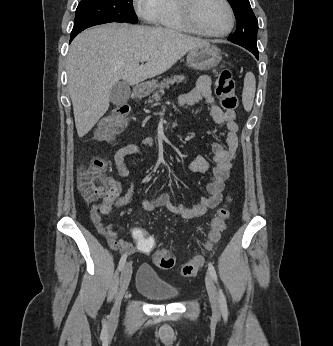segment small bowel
I'll list each match as a JSON object with an SVG mask.
<instances>
[{"label":"small bowel","mask_w":333,"mask_h":346,"mask_svg":"<svg viewBox=\"0 0 333 346\" xmlns=\"http://www.w3.org/2000/svg\"><path fill=\"white\" fill-rule=\"evenodd\" d=\"M205 100L209 105L213 120L219 125H225L227 129L226 145L219 142L212 143L214 167L211 170V179L206 185L207 196L201 198L200 202L193 206L174 204L167 193L154 199H146L142 206L147 211H154L158 207H165L170 212L183 219H194L214 209L222 201V192L225 181L228 179L233 161L238 154V125L234 111L223 110L217 104L211 93V80L207 75H202L197 80L196 86L179 97L180 106H193L199 101ZM152 138H143L140 142L143 146H152ZM141 150L137 144H126L118 147L114 153V165L117 173L126 177L129 174L126 158L130 155H139ZM210 169L207 161L202 157L194 158L189 164V170L195 173H206ZM122 185L111 180L109 196L101 203L93 204L90 208V217L99 234L106 238L108 244L115 248V254H132L137 247L124 241L112 230L111 225L104 223L103 216H107L115 203L125 205L131 201L133 190L127 188L123 195ZM154 240V239H153Z\"/></svg>","instance_id":"obj_1"}]
</instances>
